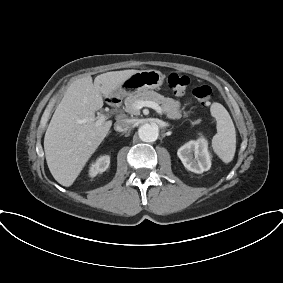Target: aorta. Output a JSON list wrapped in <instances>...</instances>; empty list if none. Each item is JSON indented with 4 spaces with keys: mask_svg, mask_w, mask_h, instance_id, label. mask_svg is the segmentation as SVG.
I'll return each instance as SVG.
<instances>
[{
    "mask_svg": "<svg viewBox=\"0 0 283 283\" xmlns=\"http://www.w3.org/2000/svg\"><path fill=\"white\" fill-rule=\"evenodd\" d=\"M139 138L144 142H154L159 136V128L155 123H145L138 129Z\"/></svg>",
    "mask_w": 283,
    "mask_h": 283,
    "instance_id": "obj_1",
    "label": "aorta"
}]
</instances>
